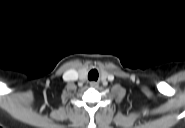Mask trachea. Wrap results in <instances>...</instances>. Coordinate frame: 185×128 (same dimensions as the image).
I'll return each instance as SVG.
<instances>
[{
  "label": "trachea",
  "mask_w": 185,
  "mask_h": 128,
  "mask_svg": "<svg viewBox=\"0 0 185 128\" xmlns=\"http://www.w3.org/2000/svg\"><path fill=\"white\" fill-rule=\"evenodd\" d=\"M99 77L98 71L96 69H91L88 73V79L90 81H96Z\"/></svg>",
  "instance_id": "1"
}]
</instances>
